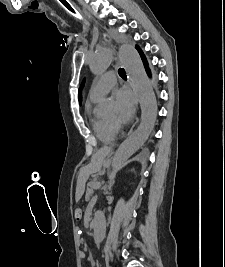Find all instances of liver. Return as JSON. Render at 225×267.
Segmentation results:
<instances>
[{"label": "liver", "mask_w": 225, "mask_h": 267, "mask_svg": "<svg viewBox=\"0 0 225 267\" xmlns=\"http://www.w3.org/2000/svg\"><path fill=\"white\" fill-rule=\"evenodd\" d=\"M107 153L104 150H100L98 152H96L91 160V163L88 166V172L89 173H93V172H97L101 169L102 164L104 162V159L106 157ZM83 194V187L81 188V190L79 191V193L77 194L76 199H80V197Z\"/></svg>", "instance_id": "obj_1"}]
</instances>
